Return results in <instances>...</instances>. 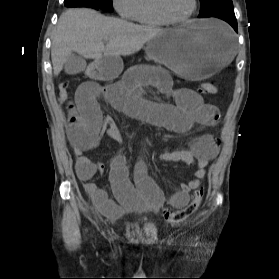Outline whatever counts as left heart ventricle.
Instances as JSON below:
<instances>
[{
    "label": "left heart ventricle",
    "instance_id": "left-heart-ventricle-1",
    "mask_svg": "<svg viewBox=\"0 0 279 279\" xmlns=\"http://www.w3.org/2000/svg\"><path fill=\"white\" fill-rule=\"evenodd\" d=\"M169 14L175 18L187 15L193 6V0H165Z\"/></svg>",
    "mask_w": 279,
    "mask_h": 279
}]
</instances>
